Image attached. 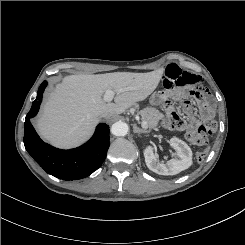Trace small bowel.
Returning <instances> with one entry per match:
<instances>
[{
  "mask_svg": "<svg viewBox=\"0 0 245 245\" xmlns=\"http://www.w3.org/2000/svg\"><path fill=\"white\" fill-rule=\"evenodd\" d=\"M163 84L166 88L171 89L174 86H199L201 85V77L181 70L178 66L171 65L167 68L165 72V79ZM206 92L202 88L192 89L187 92L186 99L188 103L190 102H201L203 101ZM186 113L190 116L189 131L195 130L198 126L199 121L192 116V107L190 104L185 106ZM202 116L204 118L210 117L213 114V109L209 105H204L201 110Z\"/></svg>",
  "mask_w": 245,
  "mask_h": 245,
  "instance_id": "1",
  "label": "small bowel"
}]
</instances>
